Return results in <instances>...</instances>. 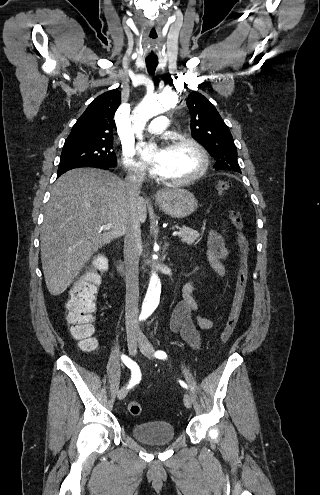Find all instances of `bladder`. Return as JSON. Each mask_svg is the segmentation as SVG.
<instances>
[{
	"label": "bladder",
	"instance_id": "bladder-1",
	"mask_svg": "<svg viewBox=\"0 0 320 495\" xmlns=\"http://www.w3.org/2000/svg\"><path fill=\"white\" fill-rule=\"evenodd\" d=\"M132 434L137 440L151 445L169 443L176 436L174 426L166 421L136 424L132 429Z\"/></svg>",
	"mask_w": 320,
	"mask_h": 495
}]
</instances>
